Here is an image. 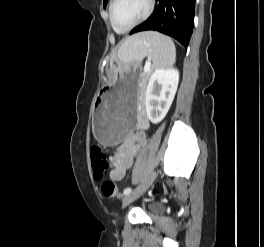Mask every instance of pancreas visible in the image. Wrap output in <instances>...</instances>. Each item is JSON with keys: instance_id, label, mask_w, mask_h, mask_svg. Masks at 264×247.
Masks as SVG:
<instances>
[{"instance_id": "pancreas-1", "label": "pancreas", "mask_w": 264, "mask_h": 247, "mask_svg": "<svg viewBox=\"0 0 264 247\" xmlns=\"http://www.w3.org/2000/svg\"><path fill=\"white\" fill-rule=\"evenodd\" d=\"M143 79H144V81H146L148 79V75H144Z\"/></svg>"}]
</instances>
